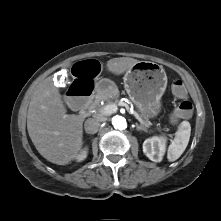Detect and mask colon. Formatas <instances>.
Masks as SVG:
<instances>
[{
  "instance_id": "1",
  "label": "colon",
  "mask_w": 221,
  "mask_h": 221,
  "mask_svg": "<svg viewBox=\"0 0 221 221\" xmlns=\"http://www.w3.org/2000/svg\"><path fill=\"white\" fill-rule=\"evenodd\" d=\"M72 84L68 87L65 94V106L70 111L84 109L88 101L93 97V90L96 85V79L103 74V67L96 60H77L72 65ZM172 92L178 98H185L187 91L185 85L180 80L172 83ZM193 113L192 104L183 100L174 111L175 119L190 118Z\"/></svg>"
}]
</instances>
